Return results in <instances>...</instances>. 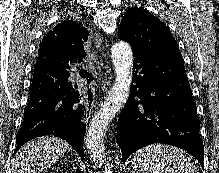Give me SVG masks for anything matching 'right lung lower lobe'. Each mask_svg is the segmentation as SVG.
<instances>
[{"mask_svg": "<svg viewBox=\"0 0 219 173\" xmlns=\"http://www.w3.org/2000/svg\"><path fill=\"white\" fill-rule=\"evenodd\" d=\"M81 61L83 59L36 63L24 123L16 135L15 152L33 138L53 135L65 139L83 159L82 141L92 103L91 89L87 84L93 77L83 69L79 72L86 79L83 84L89 90L84 87L77 90V83L69 82V62Z\"/></svg>", "mask_w": 219, "mask_h": 173, "instance_id": "1", "label": "right lung lower lobe"}]
</instances>
